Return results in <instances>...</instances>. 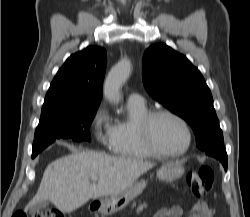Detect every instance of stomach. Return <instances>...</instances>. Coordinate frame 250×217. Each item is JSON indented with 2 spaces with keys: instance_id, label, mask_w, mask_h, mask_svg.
Segmentation results:
<instances>
[{
  "instance_id": "obj_1",
  "label": "stomach",
  "mask_w": 250,
  "mask_h": 217,
  "mask_svg": "<svg viewBox=\"0 0 250 217\" xmlns=\"http://www.w3.org/2000/svg\"><path fill=\"white\" fill-rule=\"evenodd\" d=\"M184 173L183 166L178 162H168L157 171V178L162 181H172L181 177ZM146 187V181L140 180L132 186L111 196H105L98 200V211L104 215H111L123 209L129 202L136 198Z\"/></svg>"
}]
</instances>
